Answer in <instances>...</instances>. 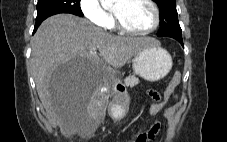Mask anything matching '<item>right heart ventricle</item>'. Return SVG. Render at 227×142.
I'll use <instances>...</instances> for the list:
<instances>
[{
  "instance_id": "1",
  "label": "right heart ventricle",
  "mask_w": 227,
  "mask_h": 142,
  "mask_svg": "<svg viewBox=\"0 0 227 142\" xmlns=\"http://www.w3.org/2000/svg\"><path fill=\"white\" fill-rule=\"evenodd\" d=\"M107 28H108V29H114V28H115L114 23H113V19H112V18L110 19V21H109V23H108V25H107Z\"/></svg>"
}]
</instances>
